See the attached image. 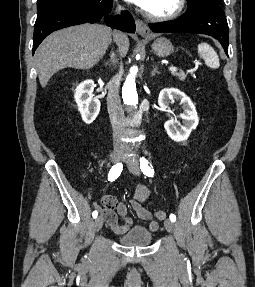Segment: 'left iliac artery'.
<instances>
[{"instance_id": "left-iliac-artery-1", "label": "left iliac artery", "mask_w": 255, "mask_h": 287, "mask_svg": "<svg viewBox=\"0 0 255 287\" xmlns=\"http://www.w3.org/2000/svg\"><path fill=\"white\" fill-rule=\"evenodd\" d=\"M140 168L141 171L143 172V174L149 176V177H153L154 175V169L151 165V163L149 161H147L144 157L140 158ZM170 220L172 222L176 221V216L174 214L170 215Z\"/></svg>"}]
</instances>
